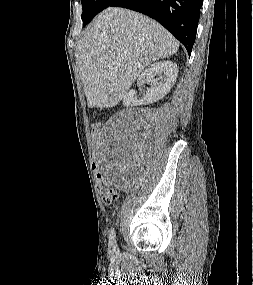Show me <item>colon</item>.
Returning <instances> with one entry per match:
<instances>
[{"label": "colon", "instance_id": "5ec220e1", "mask_svg": "<svg viewBox=\"0 0 253 285\" xmlns=\"http://www.w3.org/2000/svg\"><path fill=\"white\" fill-rule=\"evenodd\" d=\"M92 164L91 168L92 176H95V180H99V191L101 198L105 204H111L117 199V191L107 180V175H103V168L101 167V160L99 157V151L102 150L100 126H92Z\"/></svg>", "mask_w": 253, "mask_h": 285}]
</instances>
